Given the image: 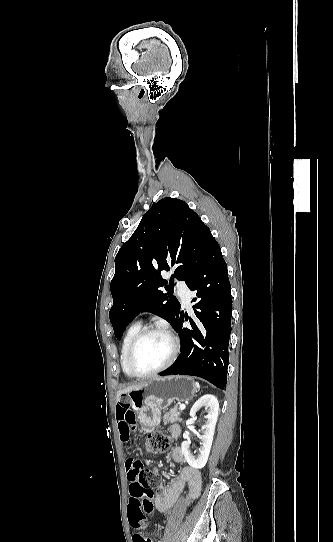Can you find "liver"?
<instances>
[{"instance_id": "1", "label": "liver", "mask_w": 333, "mask_h": 542, "mask_svg": "<svg viewBox=\"0 0 333 542\" xmlns=\"http://www.w3.org/2000/svg\"><path fill=\"white\" fill-rule=\"evenodd\" d=\"M144 384L145 382H143V384H138V386H128V388H124V390H118L117 398H119V396H122V394H128V392H133V390H140V388H142Z\"/></svg>"}]
</instances>
